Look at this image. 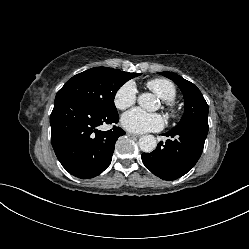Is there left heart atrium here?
<instances>
[{
	"instance_id": "1",
	"label": "left heart atrium",
	"mask_w": 249,
	"mask_h": 249,
	"mask_svg": "<svg viewBox=\"0 0 249 249\" xmlns=\"http://www.w3.org/2000/svg\"><path fill=\"white\" fill-rule=\"evenodd\" d=\"M121 124L128 131L143 133L161 129L164 120L159 114L147 113L139 108H134L122 116Z\"/></svg>"
}]
</instances>
